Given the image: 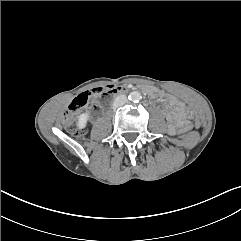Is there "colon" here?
I'll use <instances>...</instances> for the list:
<instances>
[{"label": "colon", "instance_id": "obj_1", "mask_svg": "<svg viewBox=\"0 0 241 241\" xmlns=\"http://www.w3.org/2000/svg\"><path fill=\"white\" fill-rule=\"evenodd\" d=\"M99 93H101V89L96 88L87 92H84L80 94L70 105L69 109L66 111L64 115V121L65 123L70 127L71 132L75 136H80L83 134L84 130L82 128H78L75 125V115L74 112L78 110L79 108L83 107L84 105L87 104V102L96 97ZM190 115V114H189ZM195 130V125L193 123H188L186 126H184L182 129L180 128H175L174 129V134L175 135H180L182 134H187L189 132H193Z\"/></svg>", "mask_w": 241, "mask_h": 241}]
</instances>
